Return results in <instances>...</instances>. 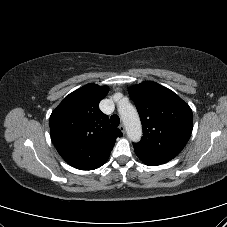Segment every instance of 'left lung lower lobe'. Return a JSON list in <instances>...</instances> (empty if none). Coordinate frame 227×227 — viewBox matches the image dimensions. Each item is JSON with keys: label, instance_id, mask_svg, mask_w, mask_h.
I'll return each instance as SVG.
<instances>
[{"label": "left lung lower lobe", "instance_id": "0a47b994", "mask_svg": "<svg viewBox=\"0 0 227 227\" xmlns=\"http://www.w3.org/2000/svg\"><path fill=\"white\" fill-rule=\"evenodd\" d=\"M135 153L141 161H143L145 164L150 165V166H156V165H160V164H164V163L168 162V160H163V159H158V158H144L137 151H135Z\"/></svg>", "mask_w": 227, "mask_h": 227}]
</instances>
